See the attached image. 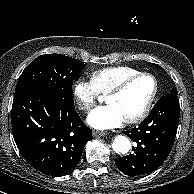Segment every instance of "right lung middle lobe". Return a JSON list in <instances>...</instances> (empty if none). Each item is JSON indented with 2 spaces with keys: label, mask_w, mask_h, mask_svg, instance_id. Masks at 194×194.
Instances as JSON below:
<instances>
[{
  "label": "right lung middle lobe",
  "mask_w": 194,
  "mask_h": 194,
  "mask_svg": "<svg viewBox=\"0 0 194 194\" xmlns=\"http://www.w3.org/2000/svg\"><path fill=\"white\" fill-rule=\"evenodd\" d=\"M84 63L61 54H46L33 60L18 79L15 94L44 91L63 99H72L74 78Z\"/></svg>",
  "instance_id": "right-lung-middle-lobe-1"
}]
</instances>
